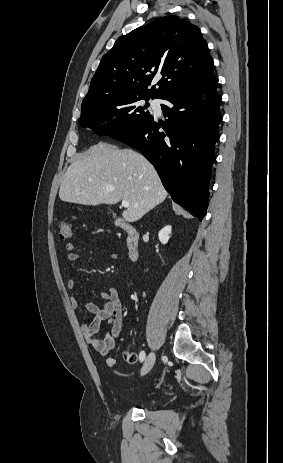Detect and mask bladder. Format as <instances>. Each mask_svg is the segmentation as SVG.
<instances>
[{"instance_id":"31cf9c89","label":"bladder","mask_w":283,"mask_h":463,"mask_svg":"<svg viewBox=\"0 0 283 463\" xmlns=\"http://www.w3.org/2000/svg\"><path fill=\"white\" fill-rule=\"evenodd\" d=\"M151 401H152L151 398H144V399H141L139 402L141 404L147 405V404H150Z\"/></svg>"}]
</instances>
